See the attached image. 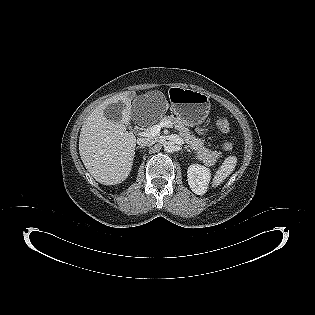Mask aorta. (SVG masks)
I'll return each instance as SVG.
<instances>
[{
	"instance_id": "1",
	"label": "aorta",
	"mask_w": 315,
	"mask_h": 315,
	"mask_svg": "<svg viewBox=\"0 0 315 315\" xmlns=\"http://www.w3.org/2000/svg\"><path fill=\"white\" fill-rule=\"evenodd\" d=\"M163 146L164 151L167 153H172L176 150V144L172 141H166Z\"/></svg>"
}]
</instances>
